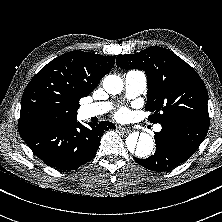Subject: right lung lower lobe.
<instances>
[{
  "label": "right lung lower lobe",
  "instance_id": "obj_1",
  "mask_svg": "<svg viewBox=\"0 0 222 222\" xmlns=\"http://www.w3.org/2000/svg\"><path fill=\"white\" fill-rule=\"evenodd\" d=\"M44 122L19 128V133L33 153L47 165L63 171L77 169L90 161L99 147L106 129L115 125L108 121L89 123Z\"/></svg>",
  "mask_w": 222,
  "mask_h": 222
}]
</instances>
